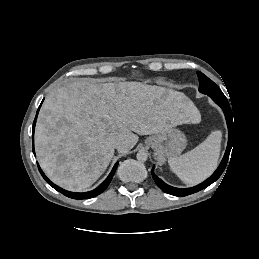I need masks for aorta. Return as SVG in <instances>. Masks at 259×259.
<instances>
[{
  "label": "aorta",
  "instance_id": "762f6f07",
  "mask_svg": "<svg viewBox=\"0 0 259 259\" xmlns=\"http://www.w3.org/2000/svg\"><path fill=\"white\" fill-rule=\"evenodd\" d=\"M148 158V154L145 151H139L137 153V160L140 162H145Z\"/></svg>",
  "mask_w": 259,
  "mask_h": 259
}]
</instances>
